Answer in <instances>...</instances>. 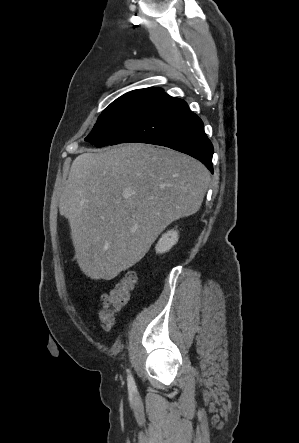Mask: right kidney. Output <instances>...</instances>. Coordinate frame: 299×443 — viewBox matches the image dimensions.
Returning a JSON list of instances; mask_svg holds the SVG:
<instances>
[{
  "mask_svg": "<svg viewBox=\"0 0 299 443\" xmlns=\"http://www.w3.org/2000/svg\"><path fill=\"white\" fill-rule=\"evenodd\" d=\"M177 241H178V231L170 230V231L166 232L159 239V241L155 247L156 253L167 252L169 249H171V247L173 245H175L177 243Z\"/></svg>",
  "mask_w": 299,
  "mask_h": 443,
  "instance_id": "right-kidney-1",
  "label": "right kidney"
}]
</instances>
